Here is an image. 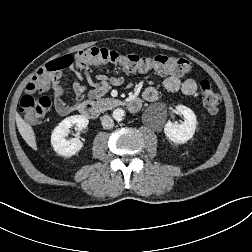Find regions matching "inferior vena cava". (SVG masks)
I'll return each instance as SVG.
<instances>
[{
	"label": "inferior vena cava",
	"mask_w": 252,
	"mask_h": 252,
	"mask_svg": "<svg viewBox=\"0 0 252 252\" xmlns=\"http://www.w3.org/2000/svg\"><path fill=\"white\" fill-rule=\"evenodd\" d=\"M101 122H102V127L104 129H110L114 126L113 119L108 115H104L103 117H101Z\"/></svg>",
	"instance_id": "inferior-vena-cava-1"
}]
</instances>
